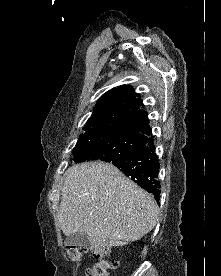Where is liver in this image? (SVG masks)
Returning a JSON list of instances; mask_svg holds the SVG:
<instances>
[{"instance_id":"liver-1","label":"liver","mask_w":221,"mask_h":276,"mask_svg":"<svg viewBox=\"0 0 221 276\" xmlns=\"http://www.w3.org/2000/svg\"><path fill=\"white\" fill-rule=\"evenodd\" d=\"M157 221L155 200L112 164L89 162L67 170L59 212L64 235L84 232L100 249L137 241Z\"/></svg>"}]
</instances>
